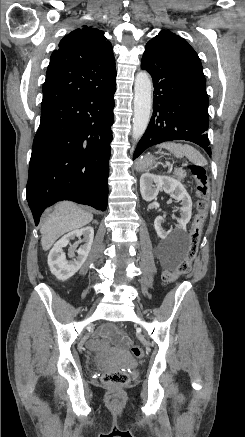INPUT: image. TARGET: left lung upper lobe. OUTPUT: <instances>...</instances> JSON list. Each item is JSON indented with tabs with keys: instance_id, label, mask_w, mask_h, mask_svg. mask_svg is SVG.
<instances>
[{
	"instance_id": "left-lung-upper-lobe-1",
	"label": "left lung upper lobe",
	"mask_w": 245,
	"mask_h": 437,
	"mask_svg": "<svg viewBox=\"0 0 245 437\" xmlns=\"http://www.w3.org/2000/svg\"><path fill=\"white\" fill-rule=\"evenodd\" d=\"M145 49L157 51L204 75L201 61L194 49L183 38L169 30H162L147 43Z\"/></svg>"
}]
</instances>
